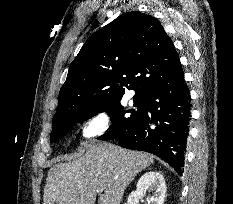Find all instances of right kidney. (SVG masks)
<instances>
[{
  "label": "right kidney",
  "instance_id": "obj_1",
  "mask_svg": "<svg viewBox=\"0 0 233 204\" xmlns=\"http://www.w3.org/2000/svg\"><path fill=\"white\" fill-rule=\"evenodd\" d=\"M153 193L149 204H163L166 196V184L161 173L149 171L143 174L137 182L136 190L132 191L125 204H138L146 191Z\"/></svg>",
  "mask_w": 233,
  "mask_h": 204
}]
</instances>
